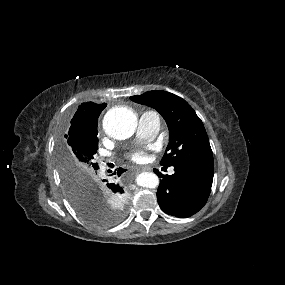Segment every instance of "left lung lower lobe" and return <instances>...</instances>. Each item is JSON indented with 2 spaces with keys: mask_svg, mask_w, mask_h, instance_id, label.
<instances>
[{
  "mask_svg": "<svg viewBox=\"0 0 285 285\" xmlns=\"http://www.w3.org/2000/svg\"><path fill=\"white\" fill-rule=\"evenodd\" d=\"M173 175H162L157 191L160 208L167 214L187 218L203 208L213 182L214 167L175 166Z\"/></svg>",
  "mask_w": 285,
  "mask_h": 285,
  "instance_id": "left-lung-lower-lobe-1",
  "label": "left lung lower lobe"
}]
</instances>
